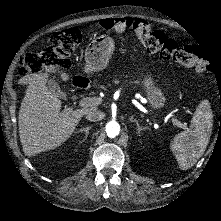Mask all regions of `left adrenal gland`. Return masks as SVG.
I'll return each mask as SVG.
<instances>
[{
    "mask_svg": "<svg viewBox=\"0 0 221 221\" xmlns=\"http://www.w3.org/2000/svg\"><path fill=\"white\" fill-rule=\"evenodd\" d=\"M129 121H131V122L136 124L137 131L141 130L142 128H149L148 125H141V124H139V122L133 116H129Z\"/></svg>",
    "mask_w": 221,
    "mask_h": 221,
    "instance_id": "left-adrenal-gland-1",
    "label": "left adrenal gland"
}]
</instances>
